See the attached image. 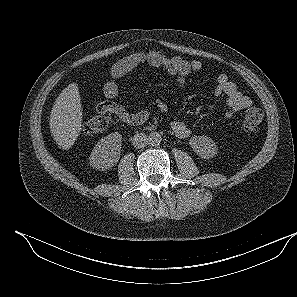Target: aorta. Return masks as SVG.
<instances>
[{"label":"aorta","instance_id":"762f6f07","mask_svg":"<svg viewBox=\"0 0 297 297\" xmlns=\"http://www.w3.org/2000/svg\"><path fill=\"white\" fill-rule=\"evenodd\" d=\"M149 144L151 145H159L162 141V137L158 132H151L148 136Z\"/></svg>","mask_w":297,"mask_h":297}]
</instances>
